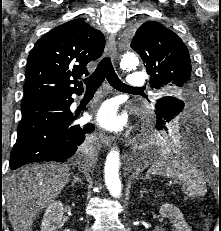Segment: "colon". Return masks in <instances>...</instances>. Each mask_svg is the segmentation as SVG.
<instances>
[{
    "instance_id": "1",
    "label": "colon",
    "mask_w": 221,
    "mask_h": 231,
    "mask_svg": "<svg viewBox=\"0 0 221 231\" xmlns=\"http://www.w3.org/2000/svg\"><path fill=\"white\" fill-rule=\"evenodd\" d=\"M204 217H205V220H206L207 225H208V222H209V213L208 212H204Z\"/></svg>"
}]
</instances>
